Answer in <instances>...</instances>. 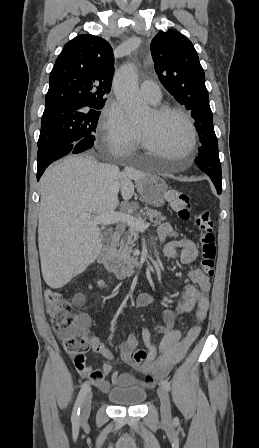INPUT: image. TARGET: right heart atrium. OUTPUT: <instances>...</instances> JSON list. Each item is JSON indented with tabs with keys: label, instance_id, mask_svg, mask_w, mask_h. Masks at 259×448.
Listing matches in <instances>:
<instances>
[{
	"label": "right heart atrium",
	"instance_id": "right-heart-atrium-1",
	"mask_svg": "<svg viewBox=\"0 0 259 448\" xmlns=\"http://www.w3.org/2000/svg\"><path fill=\"white\" fill-rule=\"evenodd\" d=\"M141 143L138 128L127 117L118 102L107 109L100 125L99 145L102 152H113V157H129Z\"/></svg>",
	"mask_w": 259,
	"mask_h": 448
}]
</instances>
